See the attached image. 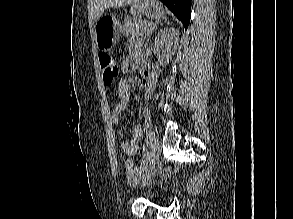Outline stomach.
Masks as SVG:
<instances>
[{
  "mask_svg": "<svg viewBox=\"0 0 293 219\" xmlns=\"http://www.w3.org/2000/svg\"><path fill=\"white\" fill-rule=\"evenodd\" d=\"M130 13L134 18L146 15L151 19L165 18V11L158 0H141L131 5ZM121 24L114 16H103L95 24V41L97 48L110 51L119 41Z\"/></svg>",
  "mask_w": 293,
  "mask_h": 219,
  "instance_id": "0dacf381",
  "label": "stomach"
}]
</instances>
